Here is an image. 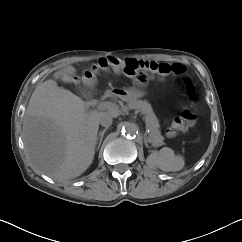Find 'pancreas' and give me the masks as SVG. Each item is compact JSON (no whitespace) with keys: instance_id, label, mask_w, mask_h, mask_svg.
<instances>
[{"instance_id":"1","label":"pancreas","mask_w":242,"mask_h":242,"mask_svg":"<svg viewBox=\"0 0 242 242\" xmlns=\"http://www.w3.org/2000/svg\"><path fill=\"white\" fill-rule=\"evenodd\" d=\"M128 106L130 109H135L144 115L146 125L150 130L149 137L151 142L153 144L161 143L163 137L159 130L160 125L151 105L145 100H132L128 102Z\"/></svg>"}]
</instances>
